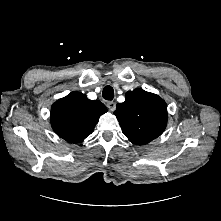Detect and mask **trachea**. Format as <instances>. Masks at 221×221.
Listing matches in <instances>:
<instances>
[{"instance_id":"1","label":"trachea","mask_w":221,"mask_h":221,"mask_svg":"<svg viewBox=\"0 0 221 221\" xmlns=\"http://www.w3.org/2000/svg\"><path fill=\"white\" fill-rule=\"evenodd\" d=\"M102 96L105 100H112L114 98V90L111 86L107 85L104 87Z\"/></svg>"}]
</instances>
